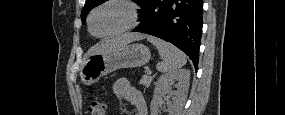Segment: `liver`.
Here are the masks:
<instances>
[{"instance_id":"obj_1","label":"liver","mask_w":285,"mask_h":115,"mask_svg":"<svg viewBox=\"0 0 285 115\" xmlns=\"http://www.w3.org/2000/svg\"><path fill=\"white\" fill-rule=\"evenodd\" d=\"M145 37L146 36L143 34H123L121 36L101 42L92 49L90 55L109 53L117 48L127 45L132 41L144 39Z\"/></svg>"}]
</instances>
